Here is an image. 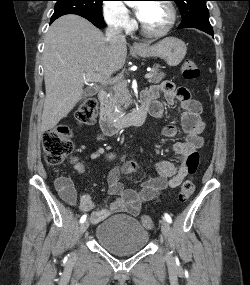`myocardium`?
<instances>
[{"label": "myocardium", "instance_id": "f54148a6", "mask_svg": "<svg viewBox=\"0 0 250 285\" xmlns=\"http://www.w3.org/2000/svg\"><path fill=\"white\" fill-rule=\"evenodd\" d=\"M159 3H161L167 7V9L169 11V15H170L169 22L160 31H150L140 21V30H141L142 34L145 35L146 37L157 39V38H162V37L166 36L171 31V29L174 27V25L177 21V11H176V8L173 5V3L170 2L169 0H161V2H159Z\"/></svg>", "mask_w": 250, "mask_h": 285}]
</instances>
